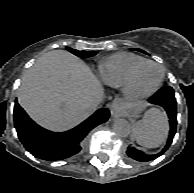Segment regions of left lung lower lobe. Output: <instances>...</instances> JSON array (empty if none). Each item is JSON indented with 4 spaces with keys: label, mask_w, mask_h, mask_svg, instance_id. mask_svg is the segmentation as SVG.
Segmentation results:
<instances>
[{
    "label": "left lung lower lobe",
    "mask_w": 194,
    "mask_h": 193,
    "mask_svg": "<svg viewBox=\"0 0 194 193\" xmlns=\"http://www.w3.org/2000/svg\"><path fill=\"white\" fill-rule=\"evenodd\" d=\"M148 101L152 104L159 105L166 110L170 123V132L166 146L158 154L146 155L135 147L129 146L126 150V154L130 158L140 162H147L162 155L171 145L177 126V103L174 96V90L171 87L166 86L161 88L155 95L149 98Z\"/></svg>",
    "instance_id": "1"
}]
</instances>
